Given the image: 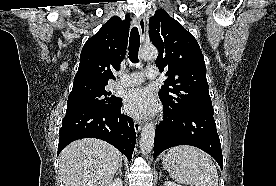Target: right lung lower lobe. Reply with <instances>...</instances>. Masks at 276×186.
I'll return each mask as SVG.
<instances>
[{"label": "right lung lower lobe", "instance_id": "1", "mask_svg": "<svg viewBox=\"0 0 276 186\" xmlns=\"http://www.w3.org/2000/svg\"><path fill=\"white\" fill-rule=\"evenodd\" d=\"M121 106L119 98L117 104L107 110H82L66 114L59 130L57 155L74 140L98 138L116 147L130 160L136 133L132 119L120 113Z\"/></svg>", "mask_w": 276, "mask_h": 186}]
</instances>
